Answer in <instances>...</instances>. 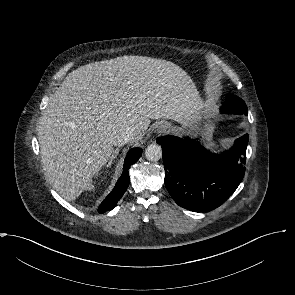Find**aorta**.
Wrapping results in <instances>:
<instances>
[{"label":"aorta","instance_id":"1","mask_svg":"<svg viewBox=\"0 0 295 295\" xmlns=\"http://www.w3.org/2000/svg\"><path fill=\"white\" fill-rule=\"evenodd\" d=\"M146 159L149 161H158L162 157V148L158 144H150L145 151Z\"/></svg>","mask_w":295,"mask_h":295}]
</instances>
